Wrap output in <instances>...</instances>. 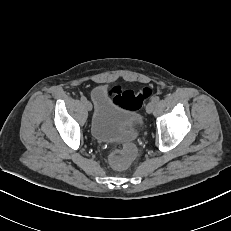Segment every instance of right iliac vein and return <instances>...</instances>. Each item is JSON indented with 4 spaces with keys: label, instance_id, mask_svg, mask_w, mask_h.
Segmentation results:
<instances>
[{
    "label": "right iliac vein",
    "instance_id": "right-iliac-vein-1",
    "mask_svg": "<svg viewBox=\"0 0 231 231\" xmlns=\"http://www.w3.org/2000/svg\"><path fill=\"white\" fill-rule=\"evenodd\" d=\"M84 105H85L87 110H89V111L92 110V104L89 101L86 100L84 102Z\"/></svg>",
    "mask_w": 231,
    "mask_h": 231
}]
</instances>
